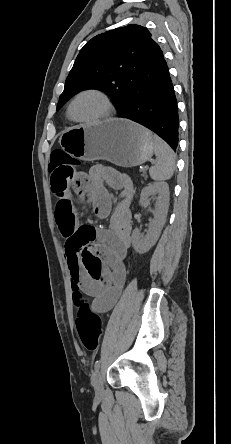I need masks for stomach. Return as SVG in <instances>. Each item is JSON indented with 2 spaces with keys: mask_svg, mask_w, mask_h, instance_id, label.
Masks as SVG:
<instances>
[{
  "mask_svg": "<svg viewBox=\"0 0 231 444\" xmlns=\"http://www.w3.org/2000/svg\"><path fill=\"white\" fill-rule=\"evenodd\" d=\"M59 143L72 157L85 161L107 160L121 167L141 165L154 152L151 132L118 118L68 128L62 132Z\"/></svg>",
  "mask_w": 231,
  "mask_h": 444,
  "instance_id": "obj_1",
  "label": "stomach"
}]
</instances>
